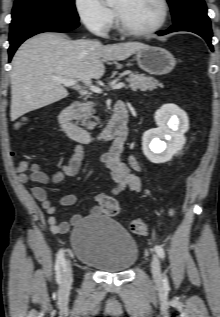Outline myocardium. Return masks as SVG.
I'll list each match as a JSON object with an SVG mask.
<instances>
[{
	"mask_svg": "<svg viewBox=\"0 0 220 317\" xmlns=\"http://www.w3.org/2000/svg\"><path fill=\"white\" fill-rule=\"evenodd\" d=\"M159 3L162 8V14L159 19V21L152 27L143 29V30H135L127 27L119 18L116 12H114V17H115V25L118 31L126 36L130 37H142V36H148L151 34L156 33L159 31L166 23L168 16H169V3L167 0H159Z\"/></svg>",
	"mask_w": 220,
	"mask_h": 317,
	"instance_id": "f54148a6",
	"label": "myocardium"
}]
</instances>
